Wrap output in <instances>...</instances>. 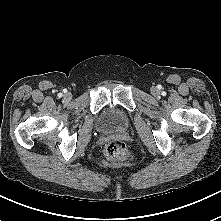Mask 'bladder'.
I'll return each mask as SVG.
<instances>
[{
    "label": "bladder",
    "instance_id": "31cf9c89",
    "mask_svg": "<svg viewBox=\"0 0 221 221\" xmlns=\"http://www.w3.org/2000/svg\"><path fill=\"white\" fill-rule=\"evenodd\" d=\"M130 119L122 109L116 106L105 107L97 119V127L99 131L109 132H122L128 129Z\"/></svg>",
    "mask_w": 221,
    "mask_h": 221
}]
</instances>
